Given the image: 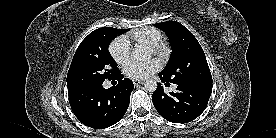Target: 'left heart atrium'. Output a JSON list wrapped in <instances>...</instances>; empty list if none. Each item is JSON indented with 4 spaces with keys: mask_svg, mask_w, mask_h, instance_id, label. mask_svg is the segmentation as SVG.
<instances>
[{
    "mask_svg": "<svg viewBox=\"0 0 276 138\" xmlns=\"http://www.w3.org/2000/svg\"><path fill=\"white\" fill-rule=\"evenodd\" d=\"M160 64L156 60L145 62L130 61L126 64L124 72L133 79H144L158 71Z\"/></svg>",
    "mask_w": 276,
    "mask_h": 138,
    "instance_id": "obj_1",
    "label": "left heart atrium"
}]
</instances>
